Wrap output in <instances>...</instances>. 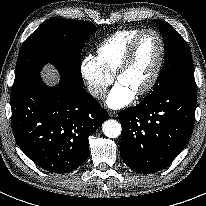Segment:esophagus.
I'll use <instances>...</instances> for the list:
<instances>
[{"mask_svg": "<svg viewBox=\"0 0 206 206\" xmlns=\"http://www.w3.org/2000/svg\"><path fill=\"white\" fill-rule=\"evenodd\" d=\"M108 114L110 117H117L118 116V113L116 111H109Z\"/></svg>", "mask_w": 206, "mask_h": 206, "instance_id": "esophagus-1", "label": "esophagus"}]
</instances>
